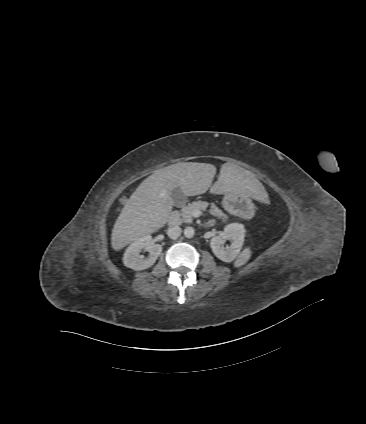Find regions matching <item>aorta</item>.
Segmentation results:
<instances>
[{"instance_id":"aorta-1","label":"aorta","mask_w":366,"mask_h":424,"mask_svg":"<svg viewBox=\"0 0 366 424\" xmlns=\"http://www.w3.org/2000/svg\"><path fill=\"white\" fill-rule=\"evenodd\" d=\"M194 234H195V230H194V228L193 227H186L185 229H184V236L185 237H187V238H192L193 236H194Z\"/></svg>"}]
</instances>
